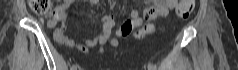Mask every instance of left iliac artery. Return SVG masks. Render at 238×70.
<instances>
[{
	"instance_id": "1",
	"label": "left iliac artery",
	"mask_w": 238,
	"mask_h": 70,
	"mask_svg": "<svg viewBox=\"0 0 238 70\" xmlns=\"http://www.w3.org/2000/svg\"><path fill=\"white\" fill-rule=\"evenodd\" d=\"M148 69L149 70H156V67L153 64H148Z\"/></svg>"
}]
</instances>
